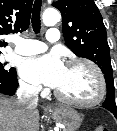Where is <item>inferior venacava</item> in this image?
Masks as SVG:
<instances>
[{
    "mask_svg": "<svg viewBox=\"0 0 117 131\" xmlns=\"http://www.w3.org/2000/svg\"><path fill=\"white\" fill-rule=\"evenodd\" d=\"M38 86L24 85L17 90V97L20 104L27 107H36L38 104Z\"/></svg>",
    "mask_w": 117,
    "mask_h": 131,
    "instance_id": "inferior-vena-cava-1",
    "label": "inferior vena cava"
}]
</instances>
